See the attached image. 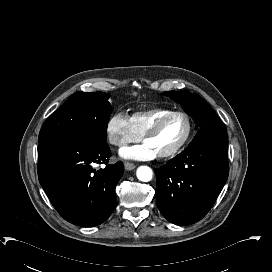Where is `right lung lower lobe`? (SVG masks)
Returning a JSON list of instances; mask_svg holds the SVG:
<instances>
[{
	"mask_svg": "<svg viewBox=\"0 0 272 272\" xmlns=\"http://www.w3.org/2000/svg\"><path fill=\"white\" fill-rule=\"evenodd\" d=\"M110 156L106 141L93 138L61 136L40 142L39 182L65 220L90 227L111 215L124 168L122 162L108 164Z\"/></svg>",
	"mask_w": 272,
	"mask_h": 272,
	"instance_id": "98d812e1",
	"label": "right lung lower lobe"
}]
</instances>
